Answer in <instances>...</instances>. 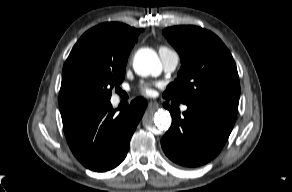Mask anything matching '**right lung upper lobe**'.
Listing matches in <instances>:
<instances>
[{"label": "right lung upper lobe", "instance_id": "1", "mask_svg": "<svg viewBox=\"0 0 292 192\" xmlns=\"http://www.w3.org/2000/svg\"><path fill=\"white\" fill-rule=\"evenodd\" d=\"M141 31L142 29L138 30L122 23L113 22L100 24L85 34L95 36L113 56L127 59Z\"/></svg>", "mask_w": 292, "mask_h": 192}]
</instances>
